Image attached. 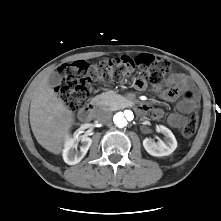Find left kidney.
<instances>
[{"mask_svg": "<svg viewBox=\"0 0 221 221\" xmlns=\"http://www.w3.org/2000/svg\"><path fill=\"white\" fill-rule=\"evenodd\" d=\"M158 130L165 136V141L153 142L149 138L143 140L145 150L152 156L161 157L172 154L177 148V141L171 130L160 125Z\"/></svg>", "mask_w": 221, "mask_h": 221, "instance_id": "5707ae66", "label": "left kidney"}]
</instances>
